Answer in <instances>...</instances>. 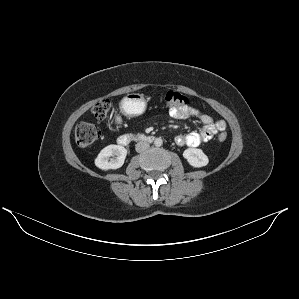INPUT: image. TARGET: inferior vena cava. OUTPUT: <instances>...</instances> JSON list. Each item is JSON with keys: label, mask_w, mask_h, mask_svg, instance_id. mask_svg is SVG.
<instances>
[{"label": "inferior vena cava", "mask_w": 299, "mask_h": 299, "mask_svg": "<svg viewBox=\"0 0 299 299\" xmlns=\"http://www.w3.org/2000/svg\"><path fill=\"white\" fill-rule=\"evenodd\" d=\"M149 143L147 142H138L135 146L137 152H143L149 148Z\"/></svg>", "instance_id": "obj_1"}]
</instances>
